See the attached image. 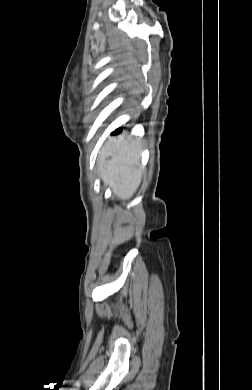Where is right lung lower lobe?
Here are the masks:
<instances>
[{
  "label": "right lung lower lobe",
  "mask_w": 252,
  "mask_h": 390,
  "mask_svg": "<svg viewBox=\"0 0 252 390\" xmlns=\"http://www.w3.org/2000/svg\"><path fill=\"white\" fill-rule=\"evenodd\" d=\"M121 131H122V128H118L114 133L116 134V133H119Z\"/></svg>",
  "instance_id": "1"
}]
</instances>
